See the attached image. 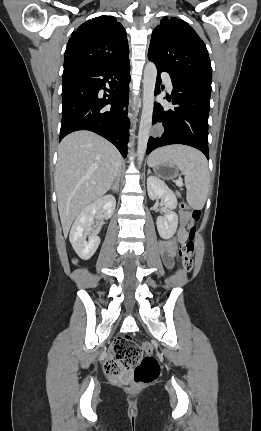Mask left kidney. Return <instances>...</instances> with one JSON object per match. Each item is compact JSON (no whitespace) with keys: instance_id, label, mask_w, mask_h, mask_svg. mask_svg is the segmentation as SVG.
Listing matches in <instances>:
<instances>
[{"instance_id":"obj_1","label":"left kidney","mask_w":261,"mask_h":431,"mask_svg":"<svg viewBox=\"0 0 261 431\" xmlns=\"http://www.w3.org/2000/svg\"><path fill=\"white\" fill-rule=\"evenodd\" d=\"M147 191L151 200L163 199L165 205L170 209L164 216H159L156 221L160 237L169 239L175 234L178 227V216L173 211L177 207L176 196L163 181L154 176L147 179Z\"/></svg>"}]
</instances>
